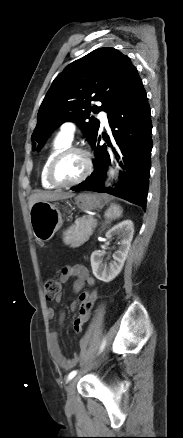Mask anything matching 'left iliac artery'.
Listing matches in <instances>:
<instances>
[{
    "instance_id": "obj_1",
    "label": "left iliac artery",
    "mask_w": 183,
    "mask_h": 438,
    "mask_svg": "<svg viewBox=\"0 0 183 438\" xmlns=\"http://www.w3.org/2000/svg\"><path fill=\"white\" fill-rule=\"evenodd\" d=\"M104 346H105V341L103 342V344H102V346H101V350H103ZM76 374H77V371H76V370L72 371V372L68 375V380L73 379V378L75 377Z\"/></svg>"
}]
</instances>
